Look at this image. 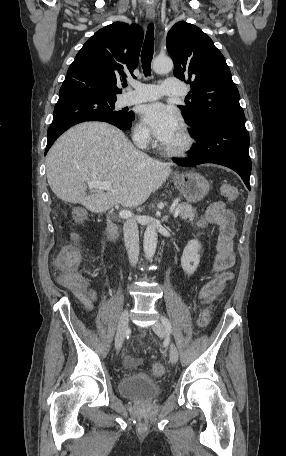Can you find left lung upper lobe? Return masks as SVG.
<instances>
[{
	"instance_id": "1",
	"label": "left lung upper lobe",
	"mask_w": 286,
	"mask_h": 456,
	"mask_svg": "<svg viewBox=\"0 0 286 456\" xmlns=\"http://www.w3.org/2000/svg\"><path fill=\"white\" fill-rule=\"evenodd\" d=\"M167 49L174 75L191 85V102L178 107L192 131L211 121L245 125L239 92L222 53L197 26L177 22L167 35Z\"/></svg>"
}]
</instances>
